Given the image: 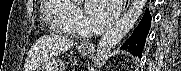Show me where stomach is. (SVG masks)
Masks as SVG:
<instances>
[{
  "label": "stomach",
  "instance_id": "obj_1",
  "mask_svg": "<svg viewBox=\"0 0 181 71\" xmlns=\"http://www.w3.org/2000/svg\"><path fill=\"white\" fill-rule=\"evenodd\" d=\"M80 52L83 55H89L91 51L90 49L82 48ZM38 71H65V68L56 63H49L41 66Z\"/></svg>",
  "mask_w": 181,
  "mask_h": 71
}]
</instances>
